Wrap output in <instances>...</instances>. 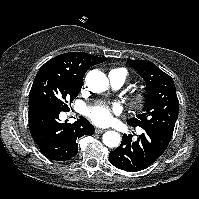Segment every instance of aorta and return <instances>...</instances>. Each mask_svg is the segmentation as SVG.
Wrapping results in <instances>:
<instances>
[{
    "label": "aorta",
    "instance_id": "762f6f07",
    "mask_svg": "<svg viewBox=\"0 0 199 199\" xmlns=\"http://www.w3.org/2000/svg\"><path fill=\"white\" fill-rule=\"evenodd\" d=\"M85 81L90 91L94 93L104 92L109 86V81L106 75L96 69L88 72ZM102 139L103 143L110 148L118 147L121 142V136L116 131L105 132Z\"/></svg>",
    "mask_w": 199,
    "mask_h": 199
}]
</instances>
